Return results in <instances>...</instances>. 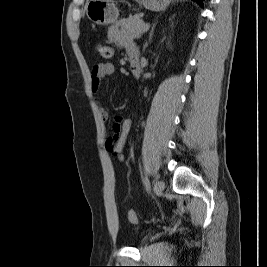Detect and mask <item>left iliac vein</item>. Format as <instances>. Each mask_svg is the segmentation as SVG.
<instances>
[{
    "label": "left iliac vein",
    "mask_w": 267,
    "mask_h": 267,
    "mask_svg": "<svg viewBox=\"0 0 267 267\" xmlns=\"http://www.w3.org/2000/svg\"><path fill=\"white\" fill-rule=\"evenodd\" d=\"M164 188L165 184L162 180H158L155 182L154 189L156 194L160 195L164 191Z\"/></svg>",
    "instance_id": "obj_1"
}]
</instances>
